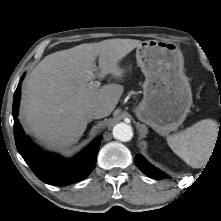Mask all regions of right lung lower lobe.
<instances>
[{
	"label": "right lung lower lobe",
	"mask_w": 221,
	"mask_h": 221,
	"mask_svg": "<svg viewBox=\"0 0 221 221\" xmlns=\"http://www.w3.org/2000/svg\"><path fill=\"white\" fill-rule=\"evenodd\" d=\"M21 84L13 97L14 137L18 152L34 174L50 185L64 186L87 177L94 169L102 137L96 138L74 159H63L56 154H47L39 149L23 132L18 119Z\"/></svg>",
	"instance_id": "obj_1"
}]
</instances>
